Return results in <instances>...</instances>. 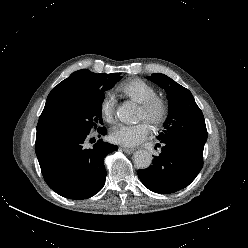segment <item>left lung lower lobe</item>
Returning <instances> with one entry per match:
<instances>
[{"label":"left lung lower lobe","instance_id":"left-lung-lower-lobe-1","mask_svg":"<svg viewBox=\"0 0 248 248\" xmlns=\"http://www.w3.org/2000/svg\"><path fill=\"white\" fill-rule=\"evenodd\" d=\"M161 143L157 144L162 146L160 155L154 157L151 166L139 169L138 176L155 193H174L187 187L202 169L203 149L182 140Z\"/></svg>","mask_w":248,"mask_h":248}]
</instances>
